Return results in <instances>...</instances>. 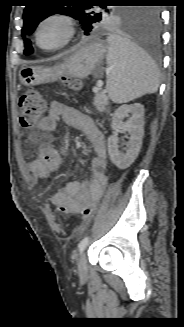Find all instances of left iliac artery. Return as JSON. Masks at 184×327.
Listing matches in <instances>:
<instances>
[{"label": "left iliac artery", "mask_w": 184, "mask_h": 327, "mask_svg": "<svg viewBox=\"0 0 184 327\" xmlns=\"http://www.w3.org/2000/svg\"><path fill=\"white\" fill-rule=\"evenodd\" d=\"M88 242H89V236L84 237V238L80 241V243H79V245H78V247H79V251H80V252H83V251L85 250V248H86Z\"/></svg>", "instance_id": "left-iliac-artery-1"}]
</instances>
